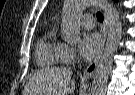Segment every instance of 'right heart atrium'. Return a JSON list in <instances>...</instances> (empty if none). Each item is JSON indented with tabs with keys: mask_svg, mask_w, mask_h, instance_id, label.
<instances>
[{
	"mask_svg": "<svg viewBox=\"0 0 135 95\" xmlns=\"http://www.w3.org/2000/svg\"><path fill=\"white\" fill-rule=\"evenodd\" d=\"M76 57V52L75 50L68 45H63V50H62V60L65 62H70Z\"/></svg>",
	"mask_w": 135,
	"mask_h": 95,
	"instance_id": "d8ad5b80",
	"label": "right heart atrium"
}]
</instances>
